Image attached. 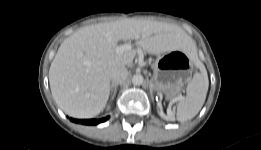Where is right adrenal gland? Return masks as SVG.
Segmentation results:
<instances>
[{"label":"right adrenal gland","instance_id":"1","mask_svg":"<svg viewBox=\"0 0 261 150\" xmlns=\"http://www.w3.org/2000/svg\"><path fill=\"white\" fill-rule=\"evenodd\" d=\"M118 85H119V84H112V85H111V93H113V95L111 96V100H113V98H114L115 95H116Z\"/></svg>","mask_w":261,"mask_h":150}]
</instances>
